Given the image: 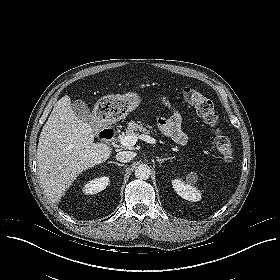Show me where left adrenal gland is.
<instances>
[{
  "label": "left adrenal gland",
  "instance_id": "1",
  "mask_svg": "<svg viewBox=\"0 0 280 280\" xmlns=\"http://www.w3.org/2000/svg\"><path fill=\"white\" fill-rule=\"evenodd\" d=\"M157 159V162L159 163V164H162L164 161H166V160H169V159H173L174 157H166V158H159V157H156Z\"/></svg>",
  "mask_w": 280,
  "mask_h": 280
}]
</instances>
